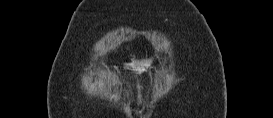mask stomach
<instances>
[{"mask_svg":"<svg viewBox=\"0 0 273 118\" xmlns=\"http://www.w3.org/2000/svg\"><path fill=\"white\" fill-rule=\"evenodd\" d=\"M153 59H144L141 61H133L131 63L125 64V69L131 71L134 74H141L147 71L151 67Z\"/></svg>","mask_w":273,"mask_h":118,"instance_id":"0dacf381","label":"stomach"}]
</instances>
